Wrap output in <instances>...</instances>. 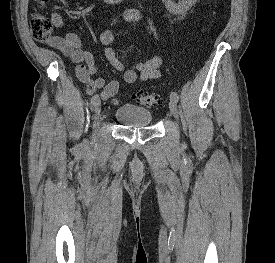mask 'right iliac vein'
<instances>
[{"label": "right iliac vein", "mask_w": 275, "mask_h": 263, "mask_svg": "<svg viewBox=\"0 0 275 263\" xmlns=\"http://www.w3.org/2000/svg\"><path fill=\"white\" fill-rule=\"evenodd\" d=\"M100 112H101V104H100V100H98L96 106L94 107V114H93L94 134H96L98 131Z\"/></svg>", "instance_id": "obj_1"}]
</instances>
